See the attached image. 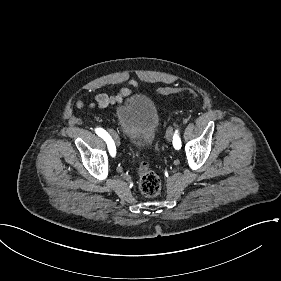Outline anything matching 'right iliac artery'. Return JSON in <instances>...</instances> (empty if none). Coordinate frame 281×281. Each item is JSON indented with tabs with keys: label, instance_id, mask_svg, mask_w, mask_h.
Here are the masks:
<instances>
[{
	"label": "right iliac artery",
	"instance_id": "right-iliac-artery-1",
	"mask_svg": "<svg viewBox=\"0 0 281 281\" xmlns=\"http://www.w3.org/2000/svg\"><path fill=\"white\" fill-rule=\"evenodd\" d=\"M96 133L106 141L110 154L114 156L116 149L111 136L102 128H97Z\"/></svg>",
	"mask_w": 281,
	"mask_h": 281
}]
</instances>
